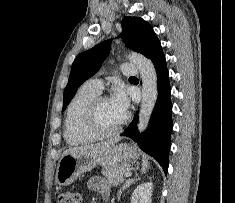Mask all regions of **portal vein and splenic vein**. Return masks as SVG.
I'll use <instances>...</instances> for the list:
<instances>
[{
  "mask_svg": "<svg viewBox=\"0 0 235 203\" xmlns=\"http://www.w3.org/2000/svg\"><path fill=\"white\" fill-rule=\"evenodd\" d=\"M131 174H132V173H131L130 171H127L124 176H125V177H129V176H131Z\"/></svg>",
  "mask_w": 235,
  "mask_h": 203,
  "instance_id": "1",
  "label": "portal vein and splenic vein"
}]
</instances>
